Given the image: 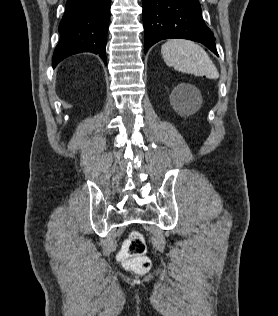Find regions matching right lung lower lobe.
Masks as SVG:
<instances>
[{
    "label": "right lung lower lobe",
    "mask_w": 278,
    "mask_h": 316,
    "mask_svg": "<svg viewBox=\"0 0 278 316\" xmlns=\"http://www.w3.org/2000/svg\"><path fill=\"white\" fill-rule=\"evenodd\" d=\"M109 19L110 0H67L58 28L60 41L53 54V67L81 52L99 54L106 64Z\"/></svg>",
    "instance_id": "1"
}]
</instances>
